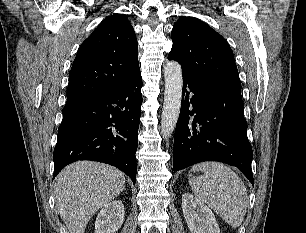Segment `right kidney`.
<instances>
[{
    "mask_svg": "<svg viewBox=\"0 0 306 233\" xmlns=\"http://www.w3.org/2000/svg\"><path fill=\"white\" fill-rule=\"evenodd\" d=\"M124 205L121 200H114L105 205L95 222V233H116L124 222Z\"/></svg>",
    "mask_w": 306,
    "mask_h": 233,
    "instance_id": "right-kidney-1",
    "label": "right kidney"
}]
</instances>
